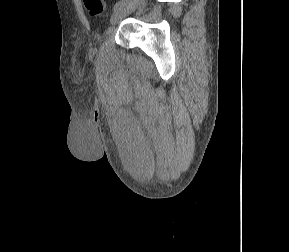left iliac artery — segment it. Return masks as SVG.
<instances>
[{
  "instance_id": "obj_1",
  "label": "left iliac artery",
  "mask_w": 289,
  "mask_h": 252,
  "mask_svg": "<svg viewBox=\"0 0 289 252\" xmlns=\"http://www.w3.org/2000/svg\"><path fill=\"white\" fill-rule=\"evenodd\" d=\"M127 1H128V0H120V1H118V2L114 5L113 10L115 11V10L119 9L120 7L124 6V5L127 3Z\"/></svg>"
}]
</instances>
